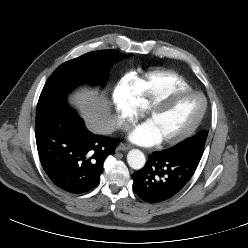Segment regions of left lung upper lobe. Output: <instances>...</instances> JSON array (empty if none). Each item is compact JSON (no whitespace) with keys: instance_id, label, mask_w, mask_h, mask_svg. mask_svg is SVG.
I'll use <instances>...</instances> for the list:
<instances>
[{"instance_id":"5c2ea615","label":"left lung upper lobe","mask_w":248,"mask_h":248,"mask_svg":"<svg viewBox=\"0 0 248 248\" xmlns=\"http://www.w3.org/2000/svg\"><path fill=\"white\" fill-rule=\"evenodd\" d=\"M207 135L208 131H200L194 137L187 138L186 140L172 147L171 150L177 152L197 151L203 153Z\"/></svg>"}]
</instances>
